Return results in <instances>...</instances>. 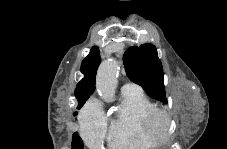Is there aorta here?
<instances>
[{"mask_svg": "<svg viewBox=\"0 0 227 149\" xmlns=\"http://www.w3.org/2000/svg\"><path fill=\"white\" fill-rule=\"evenodd\" d=\"M119 69V63L114 59L104 61L98 69L96 89L99 96L106 102H112L115 99Z\"/></svg>", "mask_w": 227, "mask_h": 149, "instance_id": "1", "label": "aorta"}]
</instances>
